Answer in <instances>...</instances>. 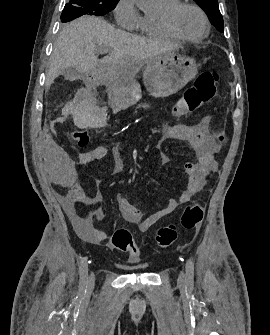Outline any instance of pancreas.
Here are the masks:
<instances>
[{
	"label": "pancreas",
	"instance_id": "pancreas-1",
	"mask_svg": "<svg viewBox=\"0 0 270 335\" xmlns=\"http://www.w3.org/2000/svg\"><path fill=\"white\" fill-rule=\"evenodd\" d=\"M137 108H149V104H138Z\"/></svg>",
	"mask_w": 270,
	"mask_h": 335
}]
</instances>
